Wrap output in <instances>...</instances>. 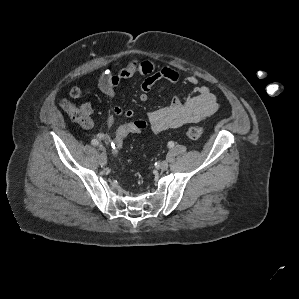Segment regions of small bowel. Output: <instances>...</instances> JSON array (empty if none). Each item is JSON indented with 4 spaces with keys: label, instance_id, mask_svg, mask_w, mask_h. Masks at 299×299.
<instances>
[{
    "label": "small bowel",
    "instance_id": "obj_1",
    "mask_svg": "<svg viewBox=\"0 0 299 299\" xmlns=\"http://www.w3.org/2000/svg\"><path fill=\"white\" fill-rule=\"evenodd\" d=\"M144 76V80L140 87V100L146 102L152 87L159 81H168L176 84L179 81V74L168 66L156 69L155 65L149 60H130L123 68L116 73L103 74L99 79V89L107 98L114 97V89L124 80L134 75ZM185 84L194 87L193 92L189 95L175 94L169 105L154 109L147 113L146 119L136 116L131 109H124L121 106H114L108 112L107 126L112 128L115 119L119 116H125L130 120L137 121L144 126H150L154 133H160L168 129H175L186 124L200 122L201 120L213 115L217 112L219 105L216 96L207 86H198V79L192 75L185 79ZM82 91L79 87L71 88L69 95L73 99H79ZM83 106L91 115L93 108L90 103ZM92 124L87 127L90 128ZM99 140L111 143V138L104 132L97 134Z\"/></svg>",
    "mask_w": 299,
    "mask_h": 299
}]
</instances>
